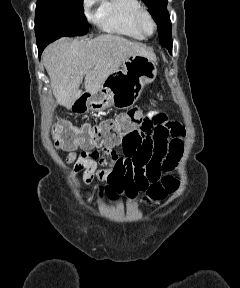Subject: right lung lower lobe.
Wrapping results in <instances>:
<instances>
[{"mask_svg":"<svg viewBox=\"0 0 240 288\" xmlns=\"http://www.w3.org/2000/svg\"><path fill=\"white\" fill-rule=\"evenodd\" d=\"M45 47H46V45H40V46H38L39 57L41 56V53H42V51L44 50Z\"/></svg>","mask_w":240,"mask_h":288,"instance_id":"obj_1","label":"right lung lower lobe"}]
</instances>
